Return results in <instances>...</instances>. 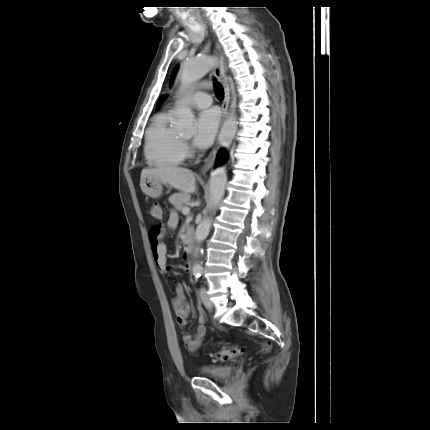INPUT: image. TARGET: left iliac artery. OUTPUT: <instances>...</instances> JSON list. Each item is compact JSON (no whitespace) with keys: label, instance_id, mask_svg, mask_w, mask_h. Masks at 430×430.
I'll use <instances>...</instances> for the list:
<instances>
[{"label":"left iliac artery","instance_id":"obj_1","mask_svg":"<svg viewBox=\"0 0 430 430\" xmlns=\"http://www.w3.org/2000/svg\"><path fill=\"white\" fill-rule=\"evenodd\" d=\"M194 274H195V275H197L198 277H200V276H201V274H202V270H196V271L194 272Z\"/></svg>","mask_w":430,"mask_h":430}]
</instances>
